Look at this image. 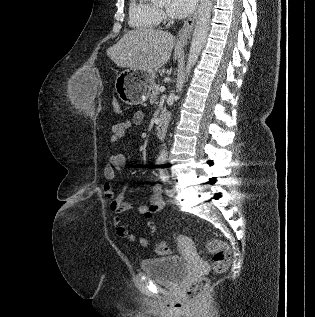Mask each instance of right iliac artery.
<instances>
[{
    "label": "right iliac artery",
    "mask_w": 315,
    "mask_h": 317,
    "mask_svg": "<svg viewBox=\"0 0 315 317\" xmlns=\"http://www.w3.org/2000/svg\"><path fill=\"white\" fill-rule=\"evenodd\" d=\"M159 166H161L163 164V161H158L157 163Z\"/></svg>",
    "instance_id": "obj_1"
}]
</instances>
